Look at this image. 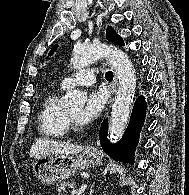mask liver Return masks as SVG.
<instances>
[{
    "label": "liver",
    "mask_w": 189,
    "mask_h": 195,
    "mask_svg": "<svg viewBox=\"0 0 189 195\" xmlns=\"http://www.w3.org/2000/svg\"><path fill=\"white\" fill-rule=\"evenodd\" d=\"M84 146L59 142L49 139H38L30 148V157L40 158L49 154H78L84 150Z\"/></svg>",
    "instance_id": "liver-1"
}]
</instances>
